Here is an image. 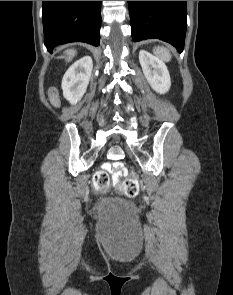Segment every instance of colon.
Listing matches in <instances>:
<instances>
[{
	"label": "colon",
	"mask_w": 233,
	"mask_h": 295,
	"mask_svg": "<svg viewBox=\"0 0 233 295\" xmlns=\"http://www.w3.org/2000/svg\"><path fill=\"white\" fill-rule=\"evenodd\" d=\"M92 181L95 189L102 190L108 187L110 177L106 171L100 170L93 175ZM120 192L128 198L135 197L139 192L138 178L136 176L126 178L120 186Z\"/></svg>",
	"instance_id": "obj_1"
}]
</instances>
